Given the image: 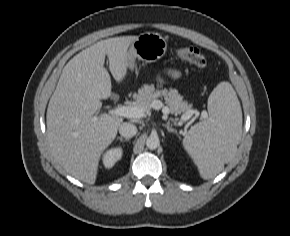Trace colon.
Returning a JSON list of instances; mask_svg holds the SVG:
<instances>
[{"label": "colon", "mask_w": 290, "mask_h": 236, "mask_svg": "<svg viewBox=\"0 0 290 236\" xmlns=\"http://www.w3.org/2000/svg\"><path fill=\"white\" fill-rule=\"evenodd\" d=\"M177 55L198 68H206L208 61L203 52L194 47H184L177 50Z\"/></svg>", "instance_id": "1"}]
</instances>
